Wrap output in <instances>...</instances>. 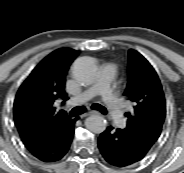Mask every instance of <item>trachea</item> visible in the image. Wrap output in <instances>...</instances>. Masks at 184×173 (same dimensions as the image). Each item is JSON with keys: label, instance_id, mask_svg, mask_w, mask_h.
I'll return each instance as SVG.
<instances>
[{"label": "trachea", "instance_id": "1", "mask_svg": "<svg viewBox=\"0 0 184 173\" xmlns=\"http://www.w3.org/2000/svg\"><path fill=\"white\" fill-rule=\"evenodd\" d=\"M92 109L98 110L102 113H105V111H106L103 106H101L100 104H97V103L92 105ZM84 112H85V109L83 107L78 106V107H75L71 110L70 115L74 117V116L80 115Z\"/></svg>", "mask_w": 184, "mask_h": 173}]
</instances>
